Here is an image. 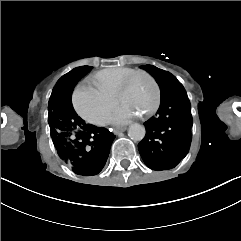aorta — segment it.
<instances>
[{
	"mask_svg": "<svg viewBox=\"0 0 241 241\" xmlns=\"http://www.w3.org/2000/svg\"><path fill=\"white\" fill-rule=\"evenodd\" d=\"M146 134V129L141 124H132L128 130V136L134 141H141L144 139Z\"/></svg>",
	"mask_w": 241,
	"mask_h": 241,
	"instance_id": "1",
	"label": "aorta"
}]
</instances>
